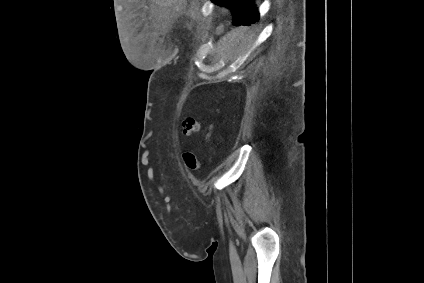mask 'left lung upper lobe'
Returning a JSON list of instances; mask_svg holds the SVG:
<instances>
[{
    "label": "left lung upper lobe",
    "mask_w": 424,
    "mask_h": 283,
    "mask_svg": "<svg viewBox=\"0 0 424 283\" xmlns=\"http://www.w3.org/2000/svg\"><path fill=\"white\" fill-rule=\"evenodd\" d=\"M217 5L225 6L232 11L233 25L240 26L255 23L259 14L254 5V0H211Z\"/></svg>",
    "instance_id": "1"
}]
</instances>
